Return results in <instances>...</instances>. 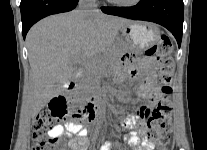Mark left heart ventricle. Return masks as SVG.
I'll list each match as a JSON object with an SVG mask.
<instances>
[{
	"mask_svg": "<svg viewBox=\"0 0 207 150\" xmlns=\"http://www.w3.org/2000/svg\"><path fill=\"white\" fill-rule=\"evenodd\" d=\"M118 1H130V0H118Z\"/></svg>",
	"mask_w": 207,
	"mask_h": 150,
	"instance_id": "1",
	"label": "left heart ventricle"
}]
</instances>
